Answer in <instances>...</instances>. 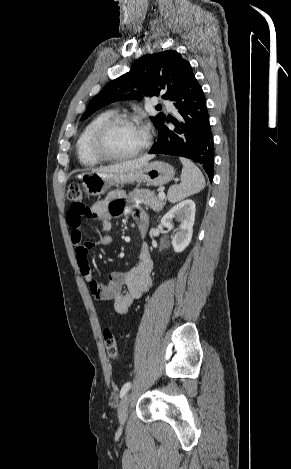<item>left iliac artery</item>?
Masks as SVG:
<instances>
[{"instance_id": "1", "label": "left iliac artery", "mask_w": 291, "mask_h": 469, "mask_svg": "<svg viewBox=\"0 0 291 469\" xmlns=\"http://www.w3.org/2000/svg\"><path fill=\"white\" fill-rule=\"evenodd\" d=\"M130 386H131V382H127L122 386L121 391H120V396L121 397H123L126 394V392L129 390Z\"/></svg>"}]
</instances>
